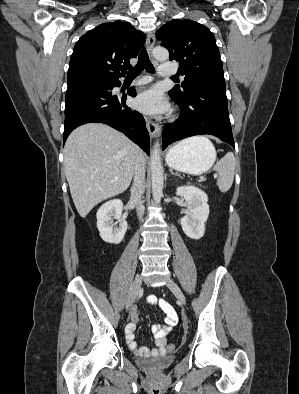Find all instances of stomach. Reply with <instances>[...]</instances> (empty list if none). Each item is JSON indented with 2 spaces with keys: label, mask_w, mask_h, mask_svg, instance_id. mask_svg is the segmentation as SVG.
<instances>
[{
  "label": "stomach",
  "mask_w": 299,
  "mask_h": 394,
  "mask_svg": "<svg viewBox=\"0 0 299 394\" xmlns=\"http://www.w3.org/2000/svg\"><path fill=\"white\" fill-rule=\"evenodd\" d=\"M215 160L214 146L196 140H185L172 147L166 155V162L170 168L191 175L205 173Z\"/></svg>",
  "instance_id": "stomach-1"
}]
</instances>
